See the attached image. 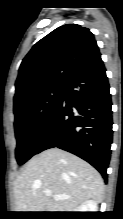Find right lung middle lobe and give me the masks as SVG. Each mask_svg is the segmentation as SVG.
I'll use <instances>...</instances> for the list:
<instances>
[{"instance_id": "1", "label": "right lung middle lobe", "mask_w": 123, "mask_h": 219, "mask_svg": "<svg viewBox=\"0 0 123 219\" xmlns=\"http://www.w3.org/2000/svg\"><path fill=\"white\" fill-rule=\"evenodd\" d=\"M64 85L31 93L14 103L16 159L24 164L36 154L40 138L60 105Z\"/></svg>"}]
</instances>
